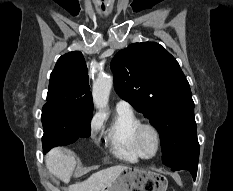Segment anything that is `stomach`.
Masks as SVG:
<instances>
[{
  "instance_id": "obj_1",
  "label": "stomach",
  "mask_w": 233,
  "mask_h": 191,
  "mask_svg": "<svg viewBox=\"0 0 233 191\" xmlns=\"http://www.w3.org/2000/svg\"><path fill=\"white\" fill-rule=\"evenodd\" d=\"M167 178L155 171L126 168L109 186L102 191H166Z\"/></svg>"
}]
</instances>
